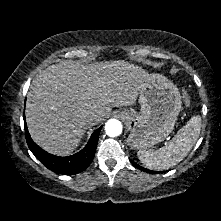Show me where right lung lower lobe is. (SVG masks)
I'll list each match as a JSON object with an SVG mask.
<instances>
[{
	"label": "right lung lower lobe",
	"mask_w": 221,
	"mask_h": 221,
	"mask_svg": "<svg viewBox=\"0 0 221 221\" xmlns=\"http://www.w3.org/2000/svg\"><path fill=\"white\" fill-rule=\"evenodd\" d=\"M24 125L26 141L34 156L51 171L63 175H74L80 173L90 165L95 155L99 133L102 128H98L91 135L88 144L80 152L67 157H59L44 151L33 142L26 126L25 116Z\"/></svg>",
	"instance_id": "right-lung-lower-lobe-1"
}]
</instances>
